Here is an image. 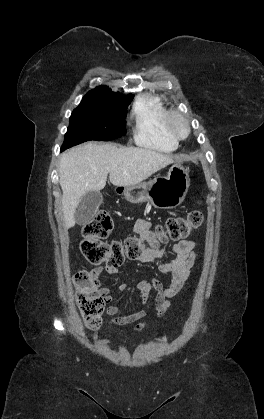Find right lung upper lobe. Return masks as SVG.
Wrapping results in <instances>:
<instances>
[{"instance_id": "1", "label": "right lung upper lobe", "mask_w": 264, "mask_h": 419, "mask_svg": "<svg viewBox=\"0 0 264 419\" xmlns=\"http://www.w3.org/2000/svg\"><path fill=\"white\" fill-rule=\"evenodd\" d=\"M87 94L112 96V97H117L119 99H124V100L133 98V95L132 94H129V95H126V96H121V94L112 92L106 86H99L96 89H93V90L89 91Z\"/></svg>"}]
</instances>
